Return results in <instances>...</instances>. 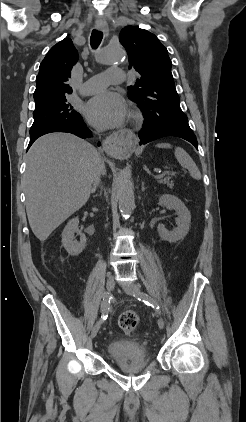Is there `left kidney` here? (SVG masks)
<instances>
[{
	"mask_svg": "<svg viewBox=\"0 0 246 422\" xmlns=\"http://www.w3.org/2000/svg\"><path fill=\"white\" fill-rule=\"evenodd\" d=\"M159 202L164 205L167 209H174L178 214L176 219L177 227L172 231L165 228L163 224H158L157 231L163 240L170 243L177 242L183 239L190 228L191 214L185 204L176 196L170 194H164L159 197Z\"/></svg>",
	"mask_w": 246,
	"mask_h": 422,
	"instance_id": "5707ae66",
	"label": "left kidney"
}]
</instances>
